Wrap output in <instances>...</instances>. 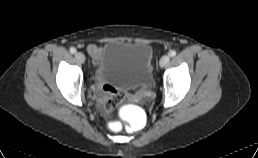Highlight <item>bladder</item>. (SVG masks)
I'll use <instances>...</instances> for the list:
<instances>
[{
  "label": "bladder",
  "mask_w": 258,
  "mask_h": 158,
  "mask_svg": "<svg viewBox=\"0 0 258 158\" xmlns=\"http://www.w3.org/2000/svg\"><path fill=\"white\" fill-rule=\"evenodd\" d=\"M153 49L145 42L111 41L101 51L96 77L122 90L150 89L154 84Z\"/></svg>",
  "instance_id": "1"
}]
</instances>
